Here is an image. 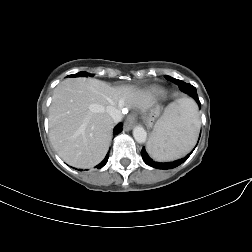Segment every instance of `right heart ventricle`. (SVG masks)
<instances>
[{
  "instance_id": "right-heart-ventricle-1",
  "label": "right heart ventricle",
  "mask_w": 252,
  "mask_h": 252,
  "mask_svg": "<svg viewBox=\"0 0 252 252\" xmlns=\"http://www.w3.org/2000/svg\"><path fill=\"white\" fill-rule=\"evenodd\" d=\"M157 93H159L158 91H153L151 92V95H156Z\"/></svg>"
}]
</instances>
